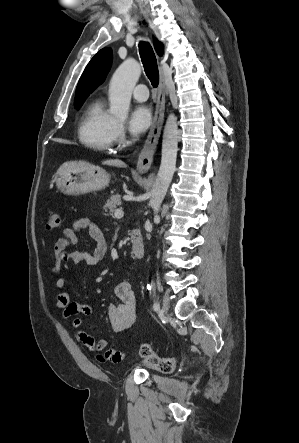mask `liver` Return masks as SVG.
<instances>
[{
  "mask_svg": "<svg viewBox=\"0 0 299 443\" xmlns=\"http://www.w3.org/2000/svg\"><path fill=\"white\" fill-rule=\"evenodd\" d=\"M104 165L116 166V167H125L126 164L119 159H110L103 162Z\"/></svg>",
  "mask_w": 299,
  "mask_h": 443,
  "instance_id": "liver-1",
  "label": "liver"
}]
</instances>
